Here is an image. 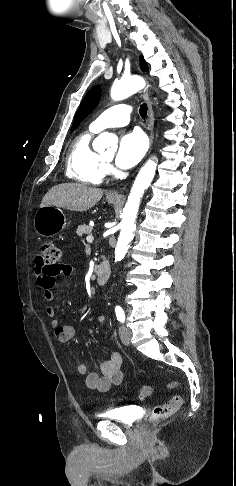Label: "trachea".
<instances>
[{"mask_svg": "<svg viewBox=\"0 0 236 486\" xmlns=\"http://www.w3.org/2000/svg\"><path fill=\"white\" fill-rule=\"evenodd\" d=\"M147 109H148V108H147V104H146V103H144V104H142V105L140 106L139 113H140V115H141V117H142L143 119H145V117H146V115H147Z\"/></svg>", "mask_w": 236, "mask_h": 486, "instance_id": "1", "label": "trachea"}]
</instances>
